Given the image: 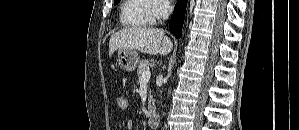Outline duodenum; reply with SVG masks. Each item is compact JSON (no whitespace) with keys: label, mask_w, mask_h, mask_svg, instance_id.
Masks as SVG:
<instances>
[{"label":"duodenum","mask_w":299,"mask_h":130,"mask_svg":"<svg viewBox=\"0 0 299 130\" xmlns=\"http://www.w3.org/2000/svg\"><path fill=\"white\" fill-rule=\"evenodd\" d=\"M148 125L151 128H156L158 126V116L155 113H151L147 119Z\"/></svg>","instance_id":"obj_1"}]
</instances>
